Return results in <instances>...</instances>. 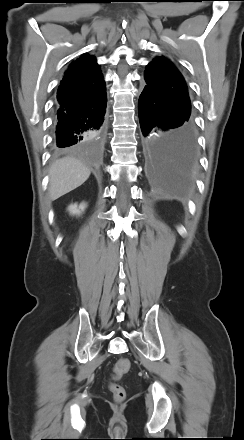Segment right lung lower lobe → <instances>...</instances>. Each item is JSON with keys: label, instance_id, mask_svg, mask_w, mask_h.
<instances>
[{"label": "right lung lower lobe", "instance_id": "98d812e1", "mask_svg": "<svg viewBox=\"0 0 244 440\" xmlns=\"http://www.w3.org/2000/svg\"><path fill=\"white\" fill-rule=\"evenodd\" d=\"M106 92L79 105H56L55 146L67 148L102 137L105 129Z\"/></svg>", "mask_w": 244, "mask_h": 440}]
</instances>
